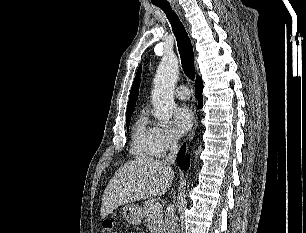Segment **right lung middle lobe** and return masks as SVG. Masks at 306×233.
Masks as SVG:
<instances>
[{"label":"right lung middle lobe","mask_w":306,"mask_h":233,"mask_svg":"<svg viewBox=\"0 0 306 233\" xmlns=\"http://www.w3.org/2000/svg\"><path fill=\"white\" fill-rule=\"evenodd\" d=\"M130 118H131V114L126 115V126H127V130H128V128H129Z\"/></svg>","instance_id":"obj_1"}]
</instances>
